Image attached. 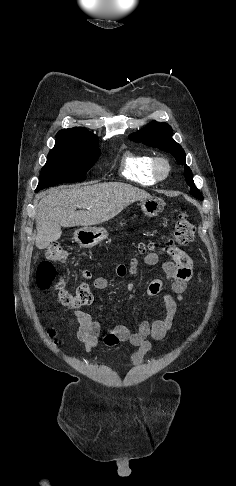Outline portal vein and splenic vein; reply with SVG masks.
Returning <instances> with one entry per match:
<instances>
[{"label":"portal vein and splenic vein","mask_w":236,"mask_h":486,"mask_svg":"<svg viewBox=\"0 0 236 486\" xmlns=\"http://www.w3.org/2000/svg\"><path fill=\"white\" fill-rule=\"evenodd\" d=\"M78 208H84V206H78Z\"/></svg>","instance_id":"obj_1"}]
</instances>
